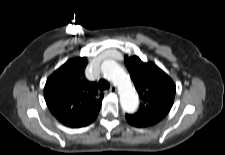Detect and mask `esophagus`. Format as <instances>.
<instances>
[{
    "instance_id": "obj_1",
    "label": "esophagus",
    "mask_w": 225,
    "mask_h": 155,
    "mask_svg": "<svg viewBox=\"0 0 225 155\" xmlns=\"http://www.w3.org/2000/svg\"><path fill=\"white\" fill-rule=\"evenodd\" d=\"M110 93H116L117 92V88L115 86H111L109 89Z\"/></svg>"
}]
</instances>
